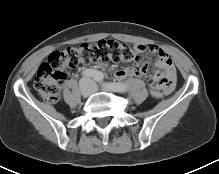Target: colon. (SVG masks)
<instances>
[{"instance_id": "colon-1", "label": "colon", "mask_w": 219, "mask_h": 174, "mask_svg": "<svg viewBox=\"0 0 219 174\" xmlns=\"http://www.w3.org/2000/svg\"><path fill=\"white\" fill-rule=\"evenodd\" d=\"M99 61L146 64L142 53L134 47L115 40H100L96 43L82 44L53 52L48 60L40 65L34 87L44 100L54 103L59 99L69 70ZM150 93L156 100L163 97L159 89L153 88Z\"/></svg>"}]
</instances>
